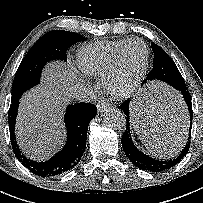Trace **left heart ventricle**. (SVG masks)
<instances>
[{
	"instance_id": "left-heart-ventricle-1",
	"label": "left heart ventricle",
	"mask_w": 203,
	"mask_h": 203,
	"mask_svg": "<svg viewBox=\"0 0 203 203\" xmlns=\"http://www.w3.org/2000/svg\"><path fill=\"white\" fill-rule=\"evenodd\" d=\"M145 57L144 48L139 43H133L126 51L124 61L120 70L118 85H128L138 73Z\"/></svg>"
}]
</instances>
